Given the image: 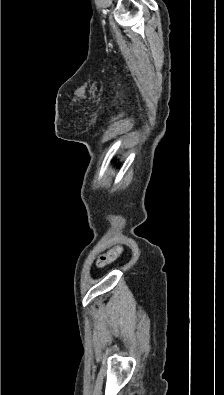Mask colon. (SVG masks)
I'll return each mask as SVG.
<instances>
[{"label": "colon", "instance_id": "1", "mask_svg": "<svg viewBox=\"0 0 224 395\" xmlns=\"http://www.w3.org/2000/svg\"><path fill=\"white\" fill-rule=\"evenodd\" d=\"M122 251L123 248L121 246H117L101 254L97 260V266L99 268L105 267L115 261L121 255Z\"/></svg>", "mask_w": 224, "mask_h": 395}]
</instances>
